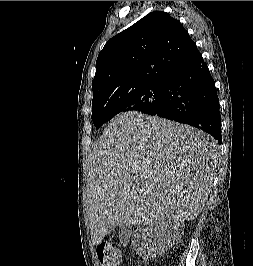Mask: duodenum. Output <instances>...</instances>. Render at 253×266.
I'll use <instances>...</instances> for the list:
<instances>
[{"label":"duodenum","instance_id":"1","mask_svg":"<svg viewBox=\"0 0 253 266\" xmlns=\"http://www.w3.org/2000/svg\"><path fill=\"white\" fill-rule=\"evenodd\" d=\"M129 234H130V233H129V231H128V235H127V237H129Z\"/></svg>","mask_w":253,"mask_h":266}]
</instances>
